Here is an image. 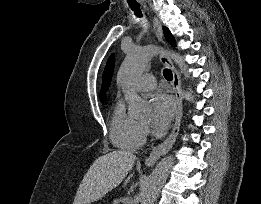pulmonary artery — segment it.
Instances as JSON below:
<instances>
[{
	"mask_svg": "<svg viewBox=\"0 0 261 204\" xmlns=\"http://www.w3.org/2000/svg\"><path fill=\"white\" fill-rule=\"evenodd\" d=\"M156 85H157L156 77L152 74H145L137 80L135 84V88L138 91H149L154 89Z\"/></svg>",
	"mask_w": 261,
	"mask_h": 204,
	"instance_id": "1",
	"label": "pulmonary artery"
}]
</instances>
